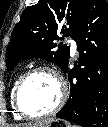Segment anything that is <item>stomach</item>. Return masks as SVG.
Returning a JSON list of instances; mask_svg holds the SVG:
<instances>
[{"mask_svg":"<svg viewBox=\"0 0 108 127\" xmlns=\"http://www.w3.org/2000/svg\"><path fill=\"white\" fill-rule=\"evenodd\" d=\"M43 127H73L70 122L62 119H54Z\"/></svg>","mask_w":108,"mask_h":127,"instance_id":"1","label":"stomach"}]
</instances>
